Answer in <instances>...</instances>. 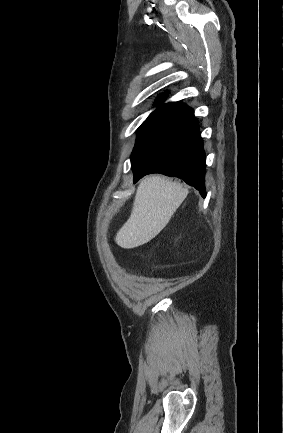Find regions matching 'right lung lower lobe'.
I'll use <instances>...</instances> for the list:
<instances>
[{
  "label": "right lung lower lobe",
  "mask_w": 283,
  "mask_h": 433,
  "mask_svg": "<svg viewBox=\"0 0 283 433\" xmlns=\"http://www.w3.org/2000/svg\"><path fill=\"white\" fill-rule=\"evenodd\" d=\"M193 110L180 104L150 122L131 154L134 183L151 173L183 179L205 197V152Z\"/></svg>",
  "instance_id": "obj_1"
}]
</instances>
